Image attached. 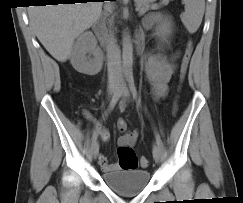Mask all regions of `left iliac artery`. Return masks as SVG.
Here are the masks:
<instances>
[{"instance_id":"44dca946","label":"left iliac artery","mask_w":243,"mask_h":203,"mask_svg":"<svg viewBox=\"0 0 243 203\" xmlns=\"http://www.w3.org/2000/svg\"><path fill=\"white\" fill-rule=\"evenodd\" d=\"M128 82H129V87H130V90L132 92L133 98L140 104L141 100L138 97L137 90H136V87L134 85V80H133L132 76L128 77ZM155 138H156L157 144L162 146V141H161L160 135L157 133V131H155Z\"/></svg>"}]
</instances>
